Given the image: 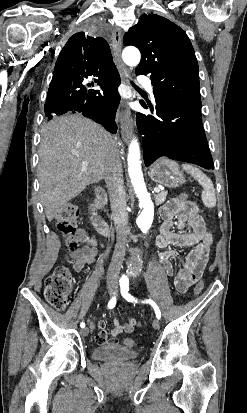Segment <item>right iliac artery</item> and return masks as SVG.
<instances>
[{"label": "right iliac artery", "mask_w": 247, "mask_h": 413, "mask_svg": "<svg viewBox=\"0 0 247 413\" xmlns=\"http://www.w3.org/2000/svg\"><path fill=\"white\" fill-rule=\"evenodd\" d=\"M115 305H116V296H114V297H112V298L110 299V301H109V303H108V308L112 309V308L115 307ZM80 327H81V328H84V327H85V323H84V322H81Z\"/></svg>", "instance_id": "1"}]
</instances>
